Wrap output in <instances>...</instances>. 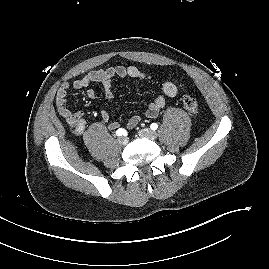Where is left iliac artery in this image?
Instances as JSON below:
<instances>
[{
  "mask_svg": "<svg viewBox=\"0 0 269 269\" xmlns=\"http://www.w3.org/2000/svg\"><path fill=\"white\" fill-rule=\"evenodd\" d=\"M150 128H151L152 130H156V129L158 128L157 123H152V124L150 125Z\"/></svg>",
  "mask_w": 269,
  "mask_h": 269,
  "instance_id": "1",
  "label": "left iliac artery"
}]
</instances>
